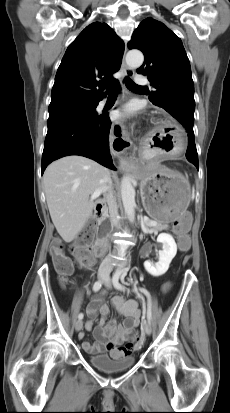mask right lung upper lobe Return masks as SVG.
Segmentation results:
<instances>
[{"label": "right lung upper lobe", "mask_w": 230, "mask_h": 413, "mask_svg": "<svg viewBox=\"0 0 230 413\" xmlns=\"http://www.w3.org/2000/svg\"><path fill=\"white\" fill-rule=\"evenodd\" d=\"M123 52V41L106 23L87 26L62 58L49 107L102 100L106 96L103 84L116 83L112 74L119 70Z\"/></svg>", "instance_id": "1"}]
</instances>
